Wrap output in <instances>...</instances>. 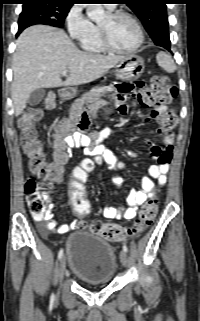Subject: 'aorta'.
Segmentation results:
<instances>
[{
    "instance_id": "762f6f07",
    "label": "aorta",
    "mask_w": 200,
    "mask_h": 321,
    "mask_svg": "<svg viewBox=\"0 0 200 321\" xmlns=\"http://www.w3.org/2000/svg\"><path fill=\"white\" fill-rule=\"evenodd\" d=\"M87 15L93 21H98L103 18L105 10L102 4H86Z\"/></svg>"
}]
</instances>
